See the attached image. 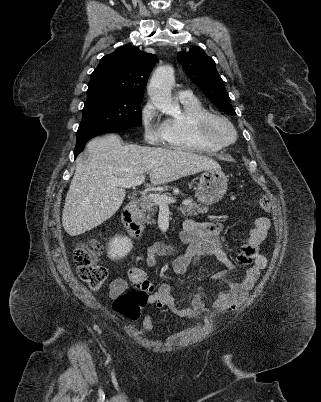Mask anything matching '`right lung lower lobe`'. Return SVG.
<instances>
[{
    "label": "right lung lower lobe",
    "mask_w": 321,
    "mask_h": 402,
    "mask_svg": "<svg viewBox=\"0 0 321 402\" xmlns=\"http://www.w3.org/2000/svg\"><path fill=\"white\" fill-rule=\"evenodd\" d=\"M127 128H109V129H103V130H98V131H93V132H87L83 134H77V141H76V147L74 150V157L83 151L85 144L87 143L88 140L91 138L104 134V133H110V132H117L121 130H125Z\"/></svg>",
    "instance_id": "right-lung-lower-lobe-1"
}]
</instances>
